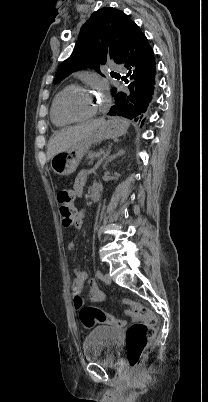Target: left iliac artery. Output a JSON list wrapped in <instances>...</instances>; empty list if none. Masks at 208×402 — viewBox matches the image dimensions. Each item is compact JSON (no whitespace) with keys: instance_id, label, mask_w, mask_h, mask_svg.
<instances>
[{"instance_id":"44dca946","label":"left iliac artery","mask_w":208,"mask_h":402,"mask_svg":"<svg viewBox=\"0 0 208 402\" xmlns=\"http://www.w3.org/2000/svg\"><path fill=\"white\" fill-rule=\"evenodd\" d=\"M96 276L98 279H102V272L100 270L96 271Z\"/></svg>"}]
</instances>
